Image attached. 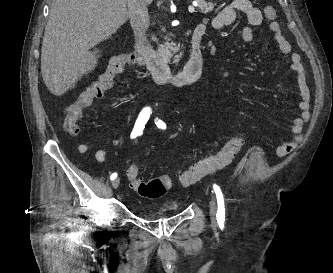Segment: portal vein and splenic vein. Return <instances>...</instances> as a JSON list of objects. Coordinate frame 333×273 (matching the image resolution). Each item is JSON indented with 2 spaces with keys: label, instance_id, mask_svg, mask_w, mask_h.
Returning <instances> with one entry per match:
<instances>
[{
  "label": "portal vein and splenic vein",
  "instance_id": "1",
  "mask_svg": "<svg viewBox=\"0 0 333 273\" xmlns=\"http://www.w3.org/2000/svg\"><path fill=\"white\" fill-rule=\"evenodd\" d=\"M197 4H194V5H191V6H189L188 7V11L190 12V13H193L194 12V6H196Z\"/></svg>",
  "mask_w": 333,
  "mask_h": 273
}]
</instances>
